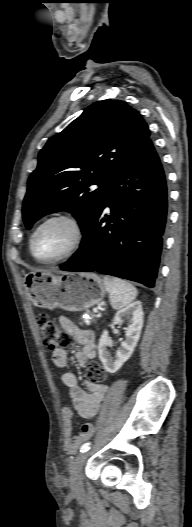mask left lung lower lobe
Wrapping results in <instances>:
<instances>
[{"label": "left lung lower lobe", "mask_w": 192, "mask_h": 527, "mask_svg": "<svg viewBox=\"0 0 192 527\" xmlns=\"http://www.w3.org/2000/svg\"><path fill=\"white\" fill-rule=\"evenodd\" d=\"M161 161L148 140L110 184L65 271H97L154 287L167 218ZM110 214H104L105 207Z\"/></svg>", "instance_id": "left-lung-lower-lobe-1"}]
</instances>
